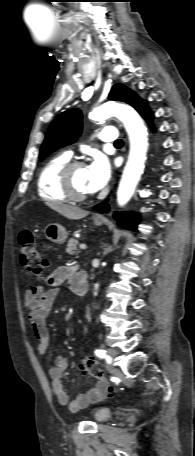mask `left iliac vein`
I'll use <instances>...</instances> for the list:
<instances>
[{
	"label": "left iliac vein",
	"mask_w": 195,
	"mask_h": 456,
	"mask_svg": "<svg viewBox=\"0 0 195 456\" xmlns=\"http://www.w3.org/2000/svg\"><path fill=\"white\" fill-rule=\"evenodd\" d=\"M108 354H109V362H111L113 360V358H115L118 355V352H117V350L110 348V349H108Z\"/></svg>",
	"instance_id": "left-iliac-vein-1"
}]
</instances>
